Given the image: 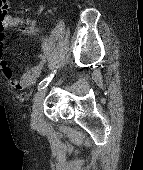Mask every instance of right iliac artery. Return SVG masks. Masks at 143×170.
I'll list each match as a JSON object with an SVG mask.
<instances>
[{
    "mask_svg": "<svg viewBox=\"0 0 143 170\" xmlns=\"http://www.w3.org/2000/svg\"><path fill=\"white\" fill-rule=\"evenodd\" d=\"M54 73H55V71L53 72V73H51L48 77H46L45 79H43L40 83H39V85H38V91H40L41 89H43V88H45L48 84H49V82L53 79V77H54Z\"/></svg>",
    "mask_w": 143,
    "mask_h": 170,
    "instance_id": "1",
    "label": "right iliac artery"
}]
</instances>
